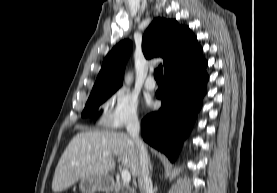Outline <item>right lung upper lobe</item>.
<instances>
[{"mask_svg": "<svg viewBox=\"0 0 277 193\" xmlns=\"http://www.w3.org/2000/svg\"><path fill=\"white\" fill-rule=\"evenodd\" d=\"M201 47L192 31L179 26L176 20L156 18L146 30L142 39V50L146 58H164L165 72L195 53ZM132 42L124 40L117 44L105 57L91 94L116 91L122 85V78Z\"/></svg>", "mask_w": 277, "mask_h": 193, "instance_id": "right-lung-upper-lobe-1", "label": "right lung upper lobe"}]
</instances>
